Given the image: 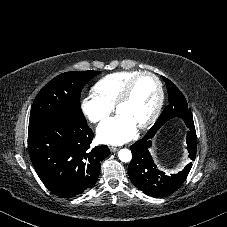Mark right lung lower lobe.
<instances>
[{"mask_svg":"<svg viewBox=\"0 0 227 227\" xmlns=\"http://www.w3.org/2000/svg\"><path fill=\"white\" fill-rule=\"evenodd\" d=\"M93 132L87 124L48 120L28 130L31 162L44 185L62 198L74 197L97 181L100 162L110 150L90 148Z\"/></svg>","mask_w":227,"mask_h":227,"instance_id":"1","label":"right lung lower lobe"}]
</instances>
